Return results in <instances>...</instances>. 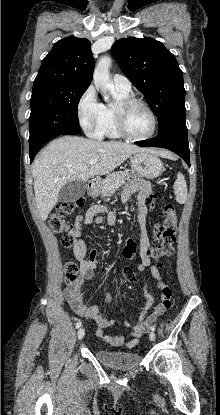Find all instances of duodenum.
Returning a JSON list of instances; mask_svg holds the SVG:
<instances>
[{
    "label": "duodenum",
    "mask_w": 220,
    "mask_h": 415,
    "mask_svg": "<svg viewBox=\"0 0 220 415\" xmlns=\"http://www.w3.org/2000/svg\"><path fill=\"white\" fill-rule=\"evenodd\" d=\"M95 187H96V182L94 180L89 181V183H88V189L90 191H93L95 189Z\"/></svg>",
    "instance_id": "410a0bca"
}]
</instances>
